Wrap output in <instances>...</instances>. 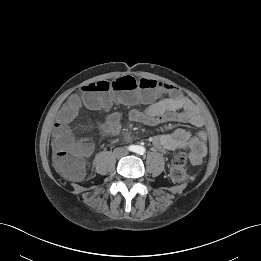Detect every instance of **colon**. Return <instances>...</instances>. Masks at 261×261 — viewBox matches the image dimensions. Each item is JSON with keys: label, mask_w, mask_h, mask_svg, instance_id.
<instances>
[{"label": "colon", "mask_w": 261, "mask_h": 261, "mask_svg": "<svg viewBox=\"0 0 261 261\" xmlns=\"http://www.w3.org/2000/svg\"><path fill=\"white\" fill-rule=\"evenodd\" d=\"M164 85L156 80L121 77L116 80H101L86 84L82 87L85 102L92 107H103L111 96L113 103L135 104L153 101ZM76 114L75 104L72 103L62 113V122L54 134L60 146L54 156V164L58 171L72 180H79L85 171L84 153L87 144L74 139L72 130L67 123ZM189 158L186 153L180 152L173 157L171 164V177L176 182L189 179Z\"/></svg>", "instance_id": "5ec220e1"}]
</instances>
